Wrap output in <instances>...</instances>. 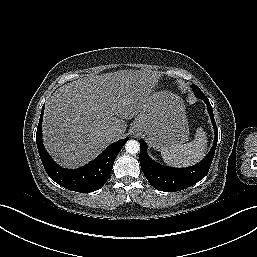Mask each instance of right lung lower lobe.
<instances>
[{"mask_svg": "<svg viewBox=\"0 0 257 257\" xmlns=\"http://www.w3.org/2000/svg\"><path fill=\"white\" fill-rule=\"evenodd\" d=\"M42 107L37 127L36 143L42 164L49 177L62 187L80 193L92 192L100 189L108 180L114 160L128 138L119 140L108 146L95 160L78 169H64L56 164L45 150L42 141Z\"/></svg>", "mask_w": 257, "mask_h": 257, "instance_id": "right-lung-lower-lobe-1", "label": "right lung lower lobe"}]
</instances>
